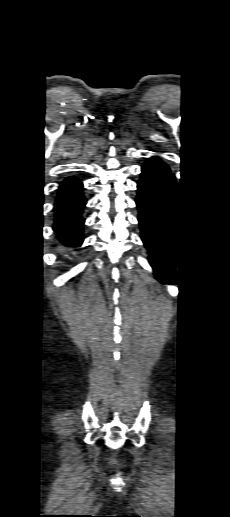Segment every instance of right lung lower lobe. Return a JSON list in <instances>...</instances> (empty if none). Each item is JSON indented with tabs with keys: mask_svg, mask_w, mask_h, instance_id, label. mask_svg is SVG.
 <instances>
[{
	"mask_svg": "<svg viewBox=\"0 0 230 517\" xmlns=\"http://www.w3.org/2000/svg\"><path fill=\"white\" fill-rule=\"evenodd\" d=\"M82 189V183L74 178H66L59 187L53 229L66 246L79 247L83 242L82 230L85 219L82 212L86 199Z\"/></svg>",
	"mask_w": 230,
	"mask_h": 517,
	"instance_id": "right-lung-lower-lobe-1",
	"label": "right lung lower lobe"
}]
</instances>
